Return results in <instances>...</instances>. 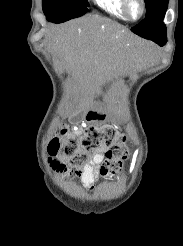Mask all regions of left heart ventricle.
<instances>
[{"instance_id": "1", "label": "left heart ventricle", "mask_w": 183, "mask_h": 246, "mask_svg": "<svg viewBox=\"0 0 183 246\" xmlns=\"http://www.w3.org/2000/svg\"><path fill=\"white\" fill-rule=\"evenodd\" d=\"M139 10H140V8H139L138 3L134 1V2L131 4V7H130L131 15H132L133 17H136V16L139 14Z\"/></svg>"}]
</instances>
